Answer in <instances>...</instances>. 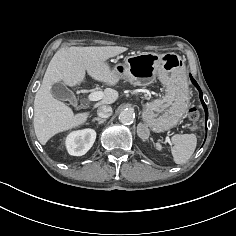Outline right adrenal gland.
I'll use <instances>...</instances> for the list:
<instances>
[{
  "label": "right adrenal gland",
  "instance_id": "obj_1",
  "mask_svg": "<svg viewBox=\"0 0 236 236\" xmlns=\"http://www.w3.org/2000/svg\"><path fill=\"white\" fill-rule=\"evenodd\" d=\"M93 121H98V124H102V123L106 122V119H101V118L97 117V118H94Z\"/></svg>",
  "mask_w": 236,
  "mask_h": 236
}]
</instances>
